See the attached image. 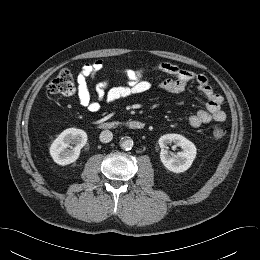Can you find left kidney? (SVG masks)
Masks as SVG:
<instances>
[{"label": "left kidney", "instance_id": "5707ae66", "mask_svg": "<svg viewBox=\"0 0 260 260\" xmlns=\"http://www.w3.org/2000/svg\"><path fill=\"white\" fill-rule=\"evenodd\" d=\"M158 143L161 148V162L168 170L181 173L190 168L197 153L196 147L191 141L179 134H166L159 138ZM171 143L180 147L182 151L178 152L177 155H170L167 151V145Z\"/></svg>", "mask_w": 260, "mask_h": 260}]
</instances>
